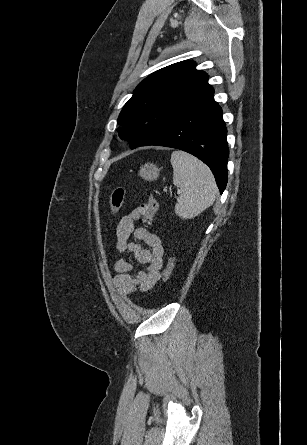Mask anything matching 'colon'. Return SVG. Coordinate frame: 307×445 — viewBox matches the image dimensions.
Instances as JSON below:
<instances>
[{
  "mask_svg": "<svg viewBox=\"0 0 307 445\" xmlns=\"http://www.w3.org/2000/svg\"><path fill=\"white\" fill-rule=\"evenodd\" d=\"M126 197V190L123 188H116L112 194H111V199H110V212L111 215H115L119 209L121 208L124 200ZM158 200L156 199V197L153 194H149L148 195V202L146 204H141L140 208L144 211V216L142 218V222L143 224L149 226L152 224L153 222V218L154 215L156 213V211L158 210ZM174 266H175V257L173 255H170L168 257L166 266L163 270V275H162V279L163 282H167L170 277L171 274L174 270Z\"/></svg>",
  "mask_w": 307,
  "mask_h": 445,
  "instance_id": "5ec220e1",
  "label": "colon"
}]
</instances>
